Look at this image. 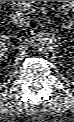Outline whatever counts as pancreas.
<instances>
[{
	"instance_id": "1",
	"label": "pancreas",
	"mask_w": 74,
	"mask_h": 122,
	"mask_svg": "<svg viewBox=\"0 0 74 122\" xmlns=\"http://www.w3.org/2000/svg\"><path fill=\"white\" fill-rule=\"evenodd\" d=\"M21 9H29L34 1H16L15 2Z\"/></svg>"
}]
</instances>
